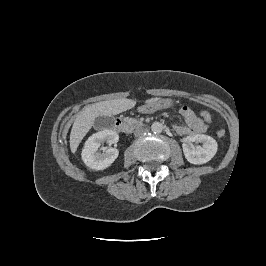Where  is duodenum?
Listing matches in <instances>:
<instances>
[{
    "mask_svg": "<svg viewBox=\"0 0 266 266\" xmlns=\"http://www.w3.org/2000/svg\"><path fill=\"white\" fill-rule=\"evenodd\" d=\"M114 127L120 133H127L132 129L131 124L120 116L116 118Z\"/></svg>",
    "mask_w": 266,
    "mask_h": 266,
    "instance_id": "410a0bca",
    "label": "duodenum"
}]
</instances>
